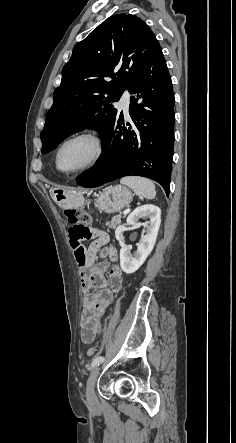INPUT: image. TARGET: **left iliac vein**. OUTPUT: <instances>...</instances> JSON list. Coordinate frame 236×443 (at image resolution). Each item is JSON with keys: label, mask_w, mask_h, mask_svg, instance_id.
<instances>
[{"label": "left iliac vein", "mask_w": 236, "mask_h": 443, "mask_svg": "<svg viewBox=\"0 0 236 443\" xmlns=\"http://www.w3.org/2000/svg\"><path fill=\"white\" fill-rule=\"evenodd\" d=\"M99 374V367L95 366L92 368L91 373L87 380L86 385V399L91 411L96 412L98 408V403L95 395V384Z\"/></svg>", "instance_id": "4c4485c4"}]
</instances>
